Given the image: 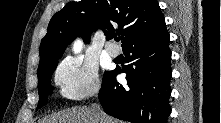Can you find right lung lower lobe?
Returning a JSON list of instances; mask_svg holds the SVG:
<instances>
[{"mask_svg":"<svg viewBox=\"0 0 221 123\" xmlns=\"http://www.w3.org/2000/svg\"><path fill=\"white\" fill-rule=\"evenodd\" d=\"M169 41L167 32L124 50L130 64L122 70L106 72L99 91V100L107 114L134 123H167L172 77ZM119 72L127 74V85L117 83Z\"/></svg>","mask_w":221,"mask_h":123,"instance_id":"obj_1","label":"right lung lower lobe"}]
</instances>
